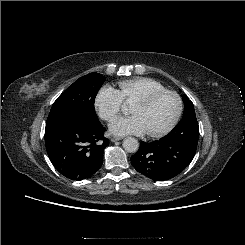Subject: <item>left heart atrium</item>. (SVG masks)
<instances>
[{"label":"left heart atrium","mask_w":245,"mask_h":245,"mask_svg":"<svg viewBox=\"0 0 245 245\" xmlns=\"http://www.w3.org/2000/svg\"><path fill=\"white\" fill-rule=\"evenodd\" d=\"M110 132L115 135H142L146 130L141 119L133 115L115 119L110 125Z\"/></svg>","instance_id":"obj_1"}]
</instances>
